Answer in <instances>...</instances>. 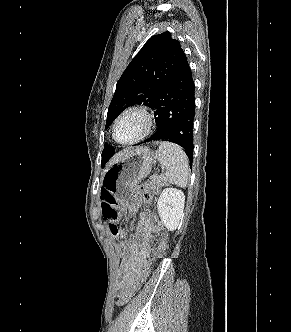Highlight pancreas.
<instances>
[{
	"label": "pancreas",
	"instance_id": "1",
	"mask_svg": "<svg viewBox=\"0 0 291 332\" xmlns=\"http://www.w3.org/2000/svg\"><path fill=\"white\" fill-rule=\"evenodd\" d=\"M151 182L153 184H156L158 187H162L164 185H166L165 182H163V177L162 176H154L151 178Z\"/></svg>",
	"mask_w": 291,
	"mask_h": 332
}]
</instances>
